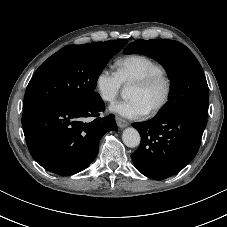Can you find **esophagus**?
Returning <instances> with one entry per match:
<instances>
[{
  "label": "esophagus",
  "instance_id": "obj_1",
  "mask_svg": "<svg viewBox=\"0 0 227 227\" xmlns=\"http://www.w3.org/2000/svg\"><path fill=\"white\" fill-rule=\"evenodd\" d=\"M116 123L120 128H125L129 125V123L126 120L120 117H116Z\"/></svg>",
  "mask_w": 227,
  "mask_h": 227
}]
</instances>
